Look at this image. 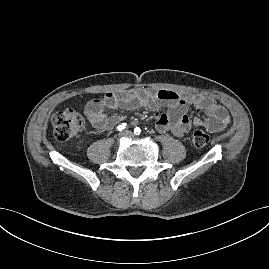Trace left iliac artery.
<instances>
[{"instance_id": "obj_1", "label": "left iliac artery", "mask_w": 269, "mask_h": 269, "mask_svg": "<svg viewBox=\"0 0 269 269\" xmlns=\"http://www.w3.org/2000/svg\"><path fill=\"white\" fill-rule=\"evenodd\" d=\"M134 133H135L136 135H139V134L141 133V129H140L139 127H136V128L134 129Z\"/></svg>"}]
</instances>
